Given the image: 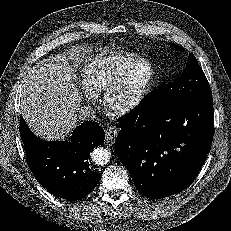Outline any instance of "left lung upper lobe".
<instances>
[{"instance_id": "left-lung-upper-lobe-1", "label": "left lung upper lobe", "mask_w": 231, "mask_h": 231, "mask_svg": "<svg viewBox=\"0 0 231 231\" xmlns=\"http://www.w3.org/2000/svg\"><path fill=\"white\" fill-rule=\"evenodd\" d=\"M197 97H212V93L203 70L195 56L190 54L183 74L172 83L148 94L141 104L150 111H158Z\"/></svg>"}]
</instances>
